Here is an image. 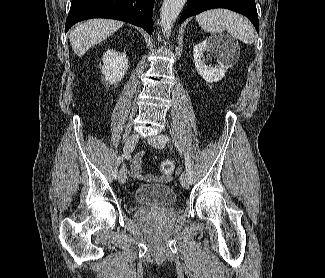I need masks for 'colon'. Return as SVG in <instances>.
<instances>
[{
	"mask_svg": "<svg viewBox=\"0 0 325 278\" xmlns=\"http://www.w3.org/2000/svg\"><path fill=\"white\" fill-rule=\"evenodd\" d=\"M174 163L170 160H167V161H164L162 164H161V167H160V172H161V176L163 179H168L171 177V175L173 174L174 172ZM148 180H151L152 178L151 177H147Z\"/></svg>",
	"mask_w": 325,
	"mask_h": 278,
	"instance_id": "5ec220e1",
	"label": "colon"
}]
</instances>
